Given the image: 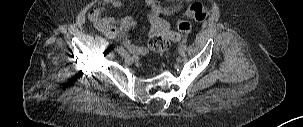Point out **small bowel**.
Segmentation results:
<instances>
[{"label": "small bowel", "instance_id": "obj_1", "mask_svg": "<svg viewBox=\"0 0 303 127\" xmlns=\"http://www.w3.org/2000/svg\"><path fill=\"white\" fill-rule=\"evenodd\" d=\"M144 4L148 7V21L150 24V36H156L162 33L170 32L171 26L164 16L173 15L181 10L179 4L162 5L157 0H144ZM123 6L121 0H104L102 5L93 9L89 13V20L94 27L102 32L107 38L117 41L135 55L145 54L147 48L132 43L129 40V33L137 25L132 17H124L114 19L104 15L108 7L120 9Z\"/></svg>", "mask_w": 303, "mask_h": 127}]
</instances>
